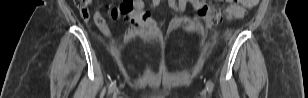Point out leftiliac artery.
<instances>
[{
  "label": "left iliac artery",
  "mask_w": 308,
  "mask_h": 98,
  "mask_svg": "<svg viewBox=\"0 0 308 98\" xmlns=\"http://www.w3.org/2000/svg\"><path fill=\"white\" fill-rule=\"evenodd\" d=\"M206 87L208 92L211 94L214 88L213 82L211 80H208L206 83Z\"/></svg>",
  "instance_id": "obj_1"
}]
</instances>
